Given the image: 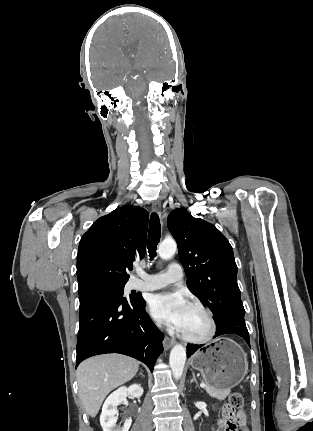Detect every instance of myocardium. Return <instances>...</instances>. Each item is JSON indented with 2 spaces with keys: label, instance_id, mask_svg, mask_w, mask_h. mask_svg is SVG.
<instances>
[{
  "label": "myocardium",
  "instance_id": "myocardium-1",
  "mask_svg": "<svg viewBox=\"0 0 313 431\" xmlns=\"http://www.w3.org/2000/svg\"><path fill=\"white\" fill-rule=\"evenodd\" d=\"M189 306L202 311L206 315V317L209 321L210 329H209V332L206 336L200 337V338L189 337V336L181 333L180 334L181 339L183 341H185L187 343H191V344L208 343L209 341H211L214 338V336L217 333V321L215 319L213 312L209 308H207L205 305H203L202 303H199V302H192L189 304Z\"/></svg>",
  "mask_w": 313,
  "mask_h": 431
}]
</instances>
